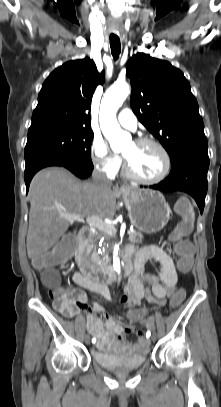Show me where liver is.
<instances>
[{
	"instance_id": "6515ba94",
	"label": "liver",
	"mask_w": 221,
	"mask_h": 407,
	"mask_svg": "<svg viewBox=\"0 0 221 407\" xmlns=\"http://www.w3.org/2000/svg\"><path fill=\"white\" fill-rule=\"evenodd\" d=\"M29 196L26 244L32 260L45 254L73 224L63 215L111 219L116 212L117 194L110 186L82 182L61 167L39 171L31 181Z\"/></svg>"
}]
</instances>
